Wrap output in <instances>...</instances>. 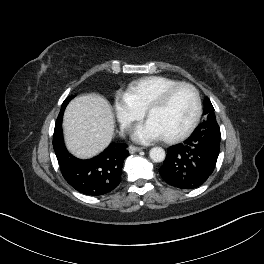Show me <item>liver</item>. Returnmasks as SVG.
<instances>
[{"label":"liver","mask_w":264,"mask_h":264,"mask_svg":"<svg viewBox=\"0 0 264 264\" xmlns=\"http://www.w3.org/2000/svg\"><path fill=\"white\" fill-rule=\"evenodd\" d=\"M114 127L110 104L96 94L76 97L64 112L65 143L79 158H90L104 150L112 140Z\"/></svg>","instance_id":"1"}]
</instances>
